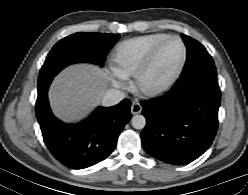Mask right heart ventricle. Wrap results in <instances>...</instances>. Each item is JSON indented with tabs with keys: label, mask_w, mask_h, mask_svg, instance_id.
I'll return each mask as SVG.
<instances>
[{
	"label": "right heart ventricle",
	"mask_w": 248,
	"mask_h": 195,
	"mask_svg": "<svg viewBox=\"0 0 248 195\" xmlns=\"http://www.w3.org/2000/svg\"><path fill=\"white\" fill-rule=\"evenodd\" d=\"M169 35L153 33L121 43L114 57V69L123 76H134L146 63L154 48Z\"/></svg>",
	"instance_id": "e07e8e85"
}]
</instances>
